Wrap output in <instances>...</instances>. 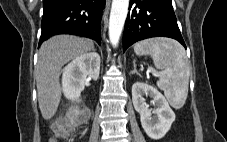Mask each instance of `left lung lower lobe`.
<instances>
[{
    "instance_id": "left-lung-lower-lobe-1",
    "label": "left lung lower lobe",
    "mask_w": 227,
    "mask_h": 142,
    "mask_svg": "<svg viewBox=\"0 0 227 142\" xmlns=\"http://www.w3.org/2000/svg\"><path fill=\"white\" fill-rule=\"evenodd\" d=\"M164 36L186 45L171 0H130L123 33V52L137 41Z\"/></svg>"
}]
</instances>
